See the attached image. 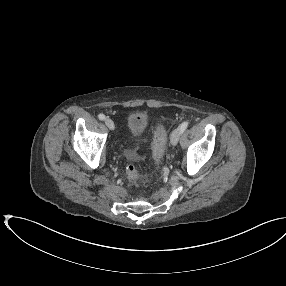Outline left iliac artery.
<instances>
[{
  "label": "left iliac artery",
  "instance_id": "1",
  "mask_svg": "<svg viewBox=\"0 0 286 286\" xmlns=\"http://www.w3.org/2000/svg\"><path fill=\"white\" fill-rule=\"evenodd\" d=\"M188 124H189V123H188L187 121H185V122H183V123L180 125L181 133H183V132L187 129Z\"/></svg>",
  "mask_w": 286,
  "mask_h": 286
}]
</instances>
